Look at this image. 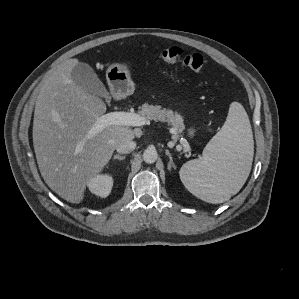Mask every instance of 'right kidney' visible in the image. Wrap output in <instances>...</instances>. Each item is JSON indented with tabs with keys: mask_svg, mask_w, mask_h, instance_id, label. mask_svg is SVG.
Returning <instances> with one entry per match:
<instances>
[{
	"mask_svg": "<svg viewBox=\"0 0 299 299\" xmlns=\"http://www.w3.org/2000/svg\"><path fill=\"white\" fill-rule=\"evenodd\" d=\"M90 191L100 197H107L113 186V179L110 175H96L88 183Z\"/></svg>",
	"mask_w": 299,
	"mask_h": 299,
	"instance_id": "right-kidney-1",
	"label": "right kidney"
}]
</instances>
